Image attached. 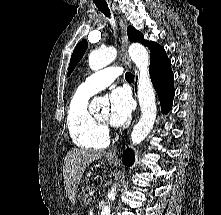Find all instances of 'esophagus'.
Masks as SVG:
<instances>
[{
	"label": "esophagus",
	"instance_id": "obj_1",
	"mask_svg": "<svg viewBox=\"0 0 221 215\" xmlns=\"http://www.w3.org/2000/svg\"><path fill=\"white\" fill-rule=\"evenodd\" d=\"M120 27H121V39H122V52H123V59L125 61V63L131 67V59L129 57L128 54V45H129V41H128V37H127V33H126V25L123 22V19L120 18ZM117 149L118 146L114 147L113 149H111L108 153L107 156L108 157H116L117 156Z\"/></svg>",
	"mask_w": 221,
	"mask_h": 215
}]
</instances>
